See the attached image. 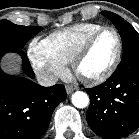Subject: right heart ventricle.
<instances>
[{"label":"right heart ventricle","instance_id":"obj_1","mask_svg":"<svg viewBox=\"0 0 139 139\" xmlns=\"http://www.w3.org/2000/svg\"><path fill=\"white\" fill-rule=\"evenodd\" d=\"M103 25L99 23H79L48 35L44 42L64 63H71L86 39Z\"/></svg>","mask_w":139,"mask_h":139}]
</instances>
